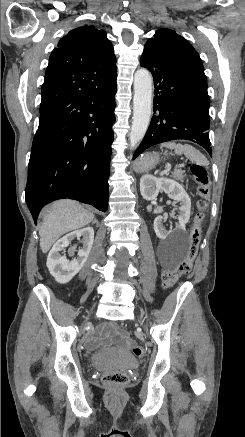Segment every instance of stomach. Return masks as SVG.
I'll return each instance as SVG.
<instances>
[{
  "label": "stomach",
  "mask_w": 245,
  "mask_h": 437,
  "mask_svg": "<svg viewBox=\"0 0 245 437\" xmlns=\"http://www.w3.org/2000/svg\"><path fill=\"white\" fill-rule=\"evenodd\" d=\"M159 160L160 158L156 153H146L136 161L135 170L137 172H147L154 168Z\"/></svg>",
  "instance_id": "obj_1"
}]
</instances>
